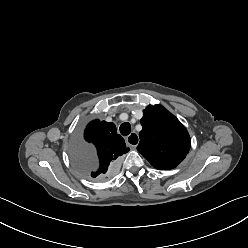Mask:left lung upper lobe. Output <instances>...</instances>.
<instances>
[{
    "label": "left lung upper lobe",
    "instance_id": "5c2ea615",
    "mask_svg": "<svg viewBox=\"0 0 248 248\" xmlns=\"http://www.w3.org/2000/svg\"><path fill=\"white\" fill-rule=\"evenodd\" d=\"M137 150L159 170L175 168L187 155L190 136L180 121L161 105L143 111Z\"/></svg>",
    "mask_w": 248,
    "mask_h": 248
}]
</instances>
